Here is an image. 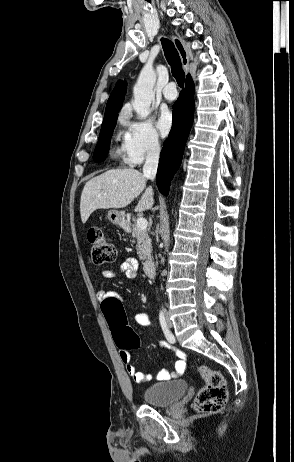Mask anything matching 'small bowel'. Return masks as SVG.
Masks as SVG:
<instances>
[{"mask_svg": "<svg viewBox=\"0 0 294 462\" xmlns=\"http://www.w3.org/2000/svg\"><path fill=\"white\" fill-rule=\"evenodd\" d=\"M138 262L135 258L127 257L125 258L118 270L105 269L102 271V275L106 278H113L118 275V273H123L128 278H133L137 275ZM113 293L100 289L97 292V297L99 299H104L105 297ZM150 316L146 312H139L135 316V322L140 326H148L150 324ZM160 346L165 349H170L171 346L168 342H161ZM120 359L125 364L127 374L132 377L136 383H144L150 381L152 376L149 373L138 371L136 367L131 363V355L128 350H120ZM175 354L178 357V360L175 362V368L172 373L166 369H161L157 375V380H167L171 377L181 376L186 370V355L181 350H175Z\"/></svg>", "mask_w": 294, "mask_h": 462, "instance_id": "1", "label": "small bowel"}]
</instances>
